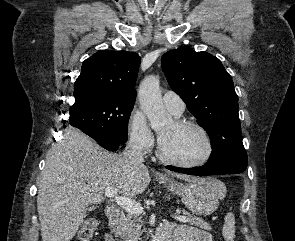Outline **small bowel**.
<instances>
[{"mask_svg": "<svg viewBox=\"0 0 295 241\" xmlns=\"http://www.w3.org/2000/svg\"><path fill=\"white\" fill-rule=\"evenodd\" d=\"M159 233L172 237V241H212L207 232L182 225L167 224L161 227ZM106 241H114L108 236Z\"/></svg>", "mask_w": 295, "mask_h": 241, "instance_id": "c3829d8e", "label": "small bowel"}]
</instances>
